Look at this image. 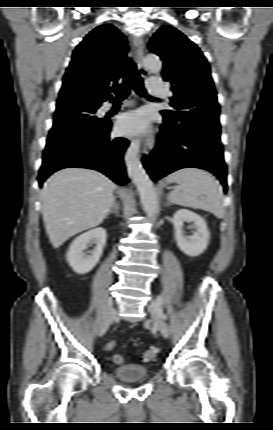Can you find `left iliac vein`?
<instances>
[{"instance_id":"4c4485c4","label":"left iliac vein","mask_w":273,"mask_h":430,"mask_svg":"<svg viewBox=\"0 0 273 430\" xmlns=\"http://www.w3.org/2000/svg\"><path fill=\"white\" fill-rule=\"evenodd\" d=\"M161 310L162 308L157 305L156 300L148 306L152 324L160 331L164 338H168L170 333L167 324L162 319Z\"/></svg>"}]
</instances>
